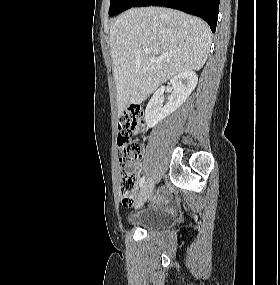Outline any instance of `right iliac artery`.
Wrapping results in <instances>:
<instances>
[{
    "label": "right iliac artery",
    "mask_w": 280,
    "mask_h": 285,
    "mask_svg": "<svg viewBox=\"0 0 280 285\" xmlns=\"http://www.w3.org/2000/svg\"><path fill=\"white\" fill-rule=\"evenodd\" d=\"M144 183H145V177L143 176L139 182V186L143 187Z\"/></svg>",
    "instance_id": "right-iliac-artery-1"
}]
</instances>
